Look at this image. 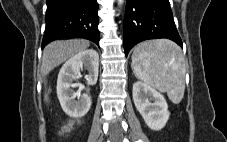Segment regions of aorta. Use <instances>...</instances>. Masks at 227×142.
I'll return each instance as SVG.
<instances>
[{
  "label": "aorta",
  "mask_w": 227,
  "mask_h": 142,
  "mask_svg": "<svg viewBox=\"0 0 227 142\" xmlns=\"http://www.w3.org/2000/svg\"><path fill=\"white\" fill-rule=\"evenodd\" d=\"M124 0H118V4L121 5L123 4Z\"/></svg>",
  "instance_id": "obj_1"
}]
</instances>
